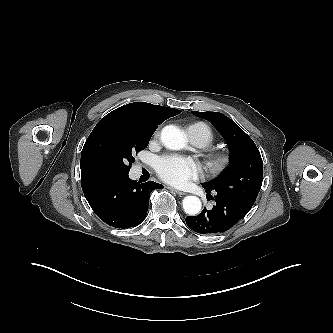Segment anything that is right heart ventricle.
Segmentation results:
<instances>
[{
  "mask_svg": "<svg viewBox=\"0 0 333 333\" xmlns=\"http://www.w3.org/2000/svg\"><path fill=\"white\" fill-rule=\"evenodd\" d=\"M189 128L194 129L195 133L202 139L204 146L209 145L214 139L212 130L205 123L197 122L190 125Z\"/></svg>",
  "mask_w": 333,
  "mask_h": 333,
  "instance_id": "e07e8e85",
  "label": "right heart ventricle"
}]
</instances>
